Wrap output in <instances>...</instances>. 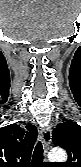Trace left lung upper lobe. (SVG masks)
Here are the masks:
<instances>
[{"label": "left lung upper lobe", "instance_id": "1", "mask_svg": "<svg viewBox=\"0 0 81 167\" xmlns=\"http://www.w3.org/2000/svg\"><path fill=\"white\" fill-rule=\"evenodd\" d=\"M52 140L68 152V161L63 167H81V126L66 121L53 130Z\"/></svg>", "mask_w": 81, "mask_h": 167}]
</instances>
